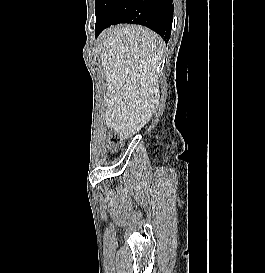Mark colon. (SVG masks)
<instances>
[{"label": "colon", "mask_w": 265, "mask_h": 273, "mask_svg": "<svg viewBox=\"0 0 265 273\" xmlns=\"http://www.w3.org/2000/svg\"><path fill=\"white\" fill-rule=\"evenodd\" d=\"M122 137L118 132H111L109 135V141L112 144H118L121 141Z\"/></svg>", "instance_id": "obj_1"}]
</instances>
